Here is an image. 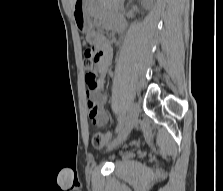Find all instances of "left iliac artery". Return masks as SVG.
<instances>
[{
    "label": "left iliac artery",
    "instance_id": "1",
    "mask_svg": "<svg viewBox=\"0 0 223 191\" xmlns=\"http://www.w3.org/2000/svg\"><path fill=\"white\" fill-rule=\"evenodd\" d=\"M125 121H126V116H125V111L123 110L119 115L115 133L119 132L124 127Z\"/></svg>",
    "mask_w": 223,
    "mask_h": 191
}]
</instances>
